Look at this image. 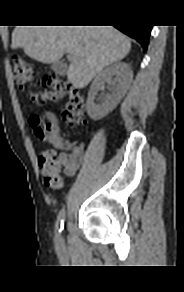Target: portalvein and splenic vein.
<instances>
[{
	"instance_id": "18ae733b",
	"label": "portal vein and splenic vein",
	"mask_w": 184,
	"mask_h": 292,
	"mask_svg": "<svg viewBox=\"0 0 184 292\" xmlns=\"http://www.w3.org/2000/svg\"><path fill=\"white\" fill-rule=\"evenodd\" d=\"M67 58H68L69 60H72V59H73V55L70 54V53H68Z\"/></svg>"
}]
</instances>
